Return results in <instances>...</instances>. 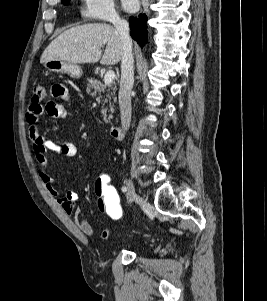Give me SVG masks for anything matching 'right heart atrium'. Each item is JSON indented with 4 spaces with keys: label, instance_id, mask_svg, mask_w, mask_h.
I'll return each mask as SVG.
<instances>
[{
    "label": "right heart atrium",
    "instance_id": "1",
    "mask_svg": "<svg viewBox=\"0 0 267 301\" xmlns=\"http://www.w3.org/2000/svg\"><path fill=\"white\" fill-rule=\"evenodd\" d=\"M83 15L90 20H119L114 0H82Z\"/></svg>",
    "mask_w": 267,
    "mask_h": 301
}]
</instances>
